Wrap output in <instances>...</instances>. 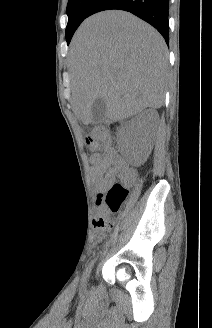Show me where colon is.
Returning a JSON list of instances; mask_svg holds the SVG:
<instances>
[{"label":"colon","instance_id":"colon-1","mask_svg":"<svg viewBox=\"0 0 212 328\" xmlns=\"http://www.w3.org/2000/svg\"><path fill=\"white\" fill-rule=\"evenodd\" d=\"M109 135L102 128L92 129L86 136V142L90 145L109 143ZM128 189L122 183H114L107 190L98 195L99 217L96 226L101 231H108L113 226V218L118 214L122 204L128 196Z\"/></svg>","mask_w":212,"mask_h":328}]
</instances>
